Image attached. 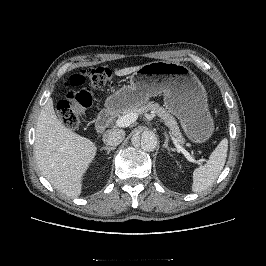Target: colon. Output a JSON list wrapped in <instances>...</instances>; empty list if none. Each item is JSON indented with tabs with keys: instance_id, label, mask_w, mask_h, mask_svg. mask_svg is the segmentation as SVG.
<instances>
[{
	"instance_id": "obj_1",
	"label": "colon",
	"mask_w": 266,
	"mask_h": 266,
	"mask_svg": "<svg viewBox=\"0 0 266 266\" xmlns=\"http://www.w3.org/2000/svg\"><path fill=\"white\" fill-rule=\"evenodd\" d=\"M111 76V70L104 65L84 68L70 76L64 98L57 105L59 119L65 127L76 128L80 116L91 108L92 95L86 83L93 88H103Z\"/></svg>"
}]
</instances>
